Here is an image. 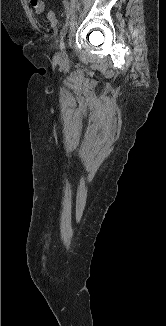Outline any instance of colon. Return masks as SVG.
<instances>
[{"mask_svg": "<svg viewBox=\"0 0 166 326\" xmlns=\"http://www.w3.org/2000/svg\"><path fill=\"white\" fill-rule=\"evenodd\" d=\"M45 16H46L47 20L50 21L52 24L56 23V14H55V12L48 11Z\"/></svg>", "mask_w": 166, "mask_h": 326, "instance_id": "1", "label": "colon"}]
</instances>
